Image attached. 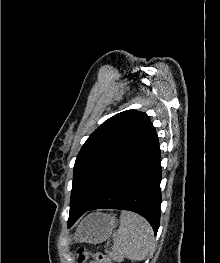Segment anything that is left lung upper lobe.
Returning <instances> with one entry per match:
<instances>
[{
  "label": "left lung upper lobe",
  "instance_id": "obj_1",
  "mask_svg": "<svg viewBox=\"0 0 220 263\" xmlns=\"http://www.w3.org/2000/svg\"><path fill=\"white\" fill-rule=\"evenodd\" d=\"M156 139L146 113L128 110L106 120L75 161L70 210L87 209Z\"/></svg>",
  "mask_w": 220,
  "mask_h": 263
}]
</instances>
